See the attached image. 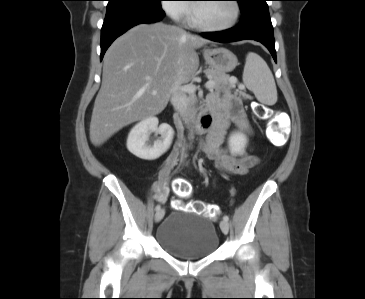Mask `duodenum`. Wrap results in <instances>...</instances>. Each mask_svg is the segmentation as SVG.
I'll list each match as a JSON object with an SVG mask.
<instances>
[{"label":"duodenum","mask_w":365,"mask_h":299,"mask_svg":"<svg viewBox=\"0 0 365 299\" xmlns=\"http://www.w3.org/2000/svg\"><path fill=\"white\" fill-rule=\"evenodd\" d=\"M213 122V115L210 111L201 112L194 125L196 133H205L210 131V129L213 127Z\"/></svg>","instance_id":"410a0bca"}]
</instances>
